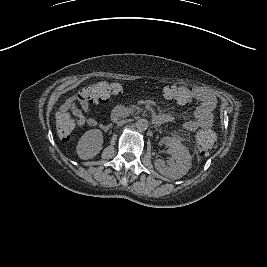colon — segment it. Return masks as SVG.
I'll use <instances>...</instances> for the list:
<instances>
[{"label":"colon","instance_id":"colon-1","mask_svg":"<svg viewBox=\"0 0 267 267\" xmlns=\"http://www.w3.org/2000/svg\"><path fill=\"white\" fill-rule=\"evenodd\" d=\"M121 92L122 87L117 83L100 82L81 89L78 93V100L83 104L107 103L117 98ZM164 94L166 98L178 104L186 102L189 98L188 92L177 86L167 87L164 90ZM76 120L67 112L58 115L56 132L60 139L70 138ZM195 140L196 148L201 155L207 156L216 148V136L212 130L204 129L199 131Z\"/></svg>","mask_w":267,"mask_h":267}]
</instances>
